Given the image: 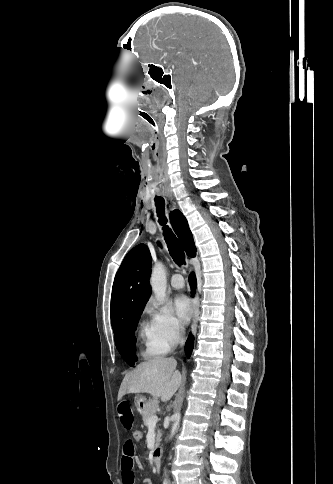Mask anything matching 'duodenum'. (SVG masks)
<instances>
[{
  "label": "duodenum",
  "instance_id": "duodenum-1",
  "mask_svg": "<svg viewBox=\"0 0 333 484\" xmlns=\"http://www.w3.org/2000/svg\"><path fill=\"white\" fill-rule=\"evenodd\" d=\"M153 465L156 470H159L161 467V451L160 449H155L153 452Z\"/></svg>",
  "mask_w": 333,
  "mask_h": 484
}]
</instances>
